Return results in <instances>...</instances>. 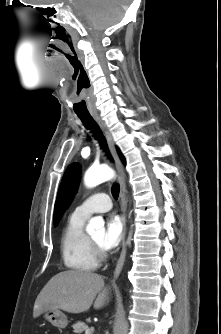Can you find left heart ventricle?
Listing matches in <instances>:
<instances>
[{"mask_svg":"<svg viewBox=\"0 0 221 334\" xmlns=\"http://www.w3.org/2000/svg\"><path fill=\"white\" fill-rule=\"evenodd\" d=\"M92 239H93L97 244L101 245V244H102L103 235H102V233H98V234L92 236Z\"/></svg>","mask_w":221,"mask_h":334,"instance_id":"1","label":"left heart ventricle"}]
</instances>
